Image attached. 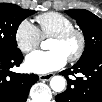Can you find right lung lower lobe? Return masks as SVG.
<instances>
[{"mask_svg": "<svg viewBox=\"0 0 102 102\" xmlns=\"http://www.w3.org/2000/svg\"><path fill=\"white\" fill-rule=\"evenodd\" d=\"M23 60L21 51L0 53V100L2 102H25L31 86L39 80L35 74H18L10 71Z\"/></svg>", "mask_w": 102, "mask_h": 102, "instance_id": "1", "label": "right lung lower lobe"}]
</instances>
